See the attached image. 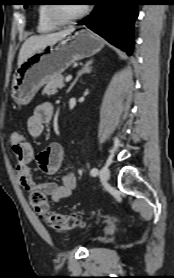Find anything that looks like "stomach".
Instances as JSON below:
<instances>
[{
    "mask_svg": "<svg viewBox=\"0 0 174 278\" xmlns=\"http://www.w3.org/2000/svg\"><path fill=\"white\" fill-rule=\"evenodd\" d=\"M103 47L104 42L98 36L80 30L37 49L13 75V100L18 104H28L37 91L52 78L61 75L76 61L95 55Z\"/></svg>",
    "mask_w": 174,
    "mask_h": 278,
    "instance_id": "1",
    "label": "stomach"
}]
</instances>
